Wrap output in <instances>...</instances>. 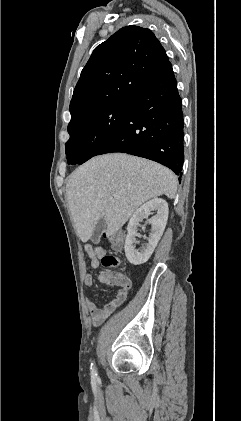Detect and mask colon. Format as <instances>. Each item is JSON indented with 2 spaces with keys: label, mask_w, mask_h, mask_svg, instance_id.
Returning <instances> with one entry per match:
<instances>
[{
  "label": "colon",
  "mask_w": 241,
  "mask_h": 421,
  "mask_svg": "<svg viewBox=\"0 0 241 421\" xmlns=\"http://www.w3.org/2000/svg\"><path fill=\"white\" fill-rule=\"evenodd\" d=\"M112 245L115 249L119 250L123 246L124 237L122 233H117L116 235L112 236L111 238ZM86 247H92L91 245H87ZM101 264L103 270L101 271L100 275L108 282H113L116 284H125L127 278L120 273L115 272V269L119 265V260L114 255H105L101 259Z\"/></svg>",
  "instance_id": "obj_1"
}]
</instances>
